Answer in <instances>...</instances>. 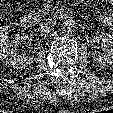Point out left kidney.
<instances>
[{
  "instance_id": "1",
  "label": "left kidney",
  "mask_w": 113,
  "mask_h": 113,
  "mask_svg": "<svg viewBox=\"0 0 113 113\" xmlns=\"http://www.w3.org/2000/svg\"><path fill=\"white\" fill-rule=\"evenodd\" d=\"M102 41L106 45V50L100 54L98 51L92 53V59L100 65L113 64V36L108 33H96L93 42Z\"/></svg>"
}]
</instances>
